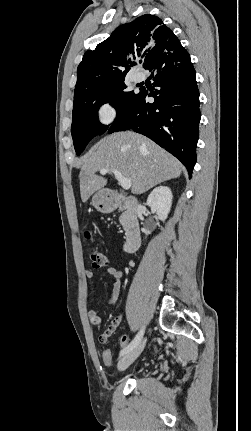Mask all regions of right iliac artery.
Here are the masks:
<instances>
[{"label": "right iliac artery", "mask_w": 251, "mask_h": 431, "mask_svg": "<svg viewBox=\"0 0 251 431\" xmlns=\"http://www.w3.org/2000/svg\"><path fill=\"white\" fill-rule=\"evenodd\" d=\"M143 333H144V327L138 332V334L135 336L132 342L127 347L121 350L120 356L125 355L126 353L131 351L135 346H137L142 339Z\"/></svg>", "instance_id": "1"}]
</instances>
